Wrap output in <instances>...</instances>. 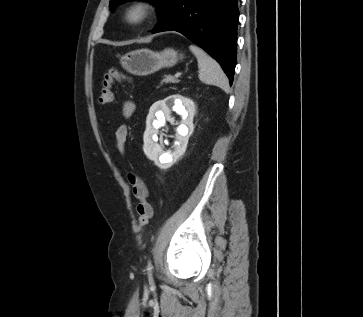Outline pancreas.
<instances>
[{"label": "pancreas", "mask_w": 363, "mask_h": 317, "mask_svg": "<svg viewBox=\"0 0 363 317\" xmlns=\"http://www.w3.org/2000/svg\"><path fill=\"white\" fill-rule=\"evenodd\" d=\"M177 82H178V80L175 77H173L171 75H166L165 78L162 80L161 84H163V83H177Z\"/></svg>", "instance_id": "obj_1"}]
</instances>
